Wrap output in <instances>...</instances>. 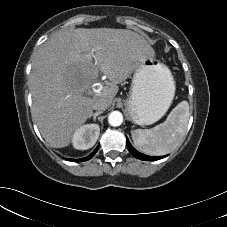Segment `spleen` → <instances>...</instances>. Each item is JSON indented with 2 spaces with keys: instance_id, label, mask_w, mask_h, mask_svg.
Here are the masks:
<instances>
[{
  "instance_id": "1",
  "label": "spleen",
  "mask_w": 227,
  "mask_h": 227,
  "mask_svg": "<svg viewBox=\"0 0 227 227\" xmlns=\"http://www.w3.org/2000/svg\"><path fill=\"white\" fill-rule=\"evenodd\" d=\"M189 117V104L187 101H182L170 112L165 122L151 129L132 131L133 142L147 155H165L183 140Z\"/></svg>"
}]
</instances>
